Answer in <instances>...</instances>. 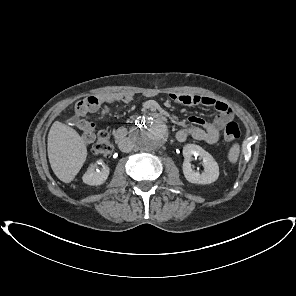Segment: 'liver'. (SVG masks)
Segmentation results:
<instances>
[{"instance_id": "6515ba94", "label": "liver", "mask_w": 296, "mask_h": 296, "mask_svg": "<svg viewBox=\"0 0 296 296\" xmlns=\"http://www.w3.org/2000/svg\"><path fill=\"white\" fill-rule=\"evenodd\" d=\"M48 158L54 174L70 183L80 171L87 157L82 137L73 128L55 121L48 133Z\"/></svg>"}]
</instances>
